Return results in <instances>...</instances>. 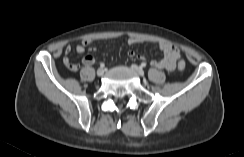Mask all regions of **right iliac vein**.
<instances>
[{"instance_id":"1","label":"right iliac vein","mask_w":244,"mask_h":157,"mask_svg":"<svg viewBox=\"0 0 244 157\" xmlns=\"http://www.w3.org/2000/svg\"><path fill=\"white\" fill-rule=\"evenodd\" d=\"M104 72H105V70H104L103 68H99V69L97 70V75H98L99 77H101V76H103Z\"/></svg>"}]
</instances>
